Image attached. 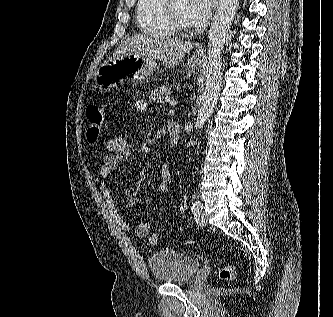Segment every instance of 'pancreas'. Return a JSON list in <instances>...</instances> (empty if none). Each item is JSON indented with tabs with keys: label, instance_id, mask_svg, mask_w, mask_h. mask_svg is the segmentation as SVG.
<instances>
[{
	"label": "pancreas",
	"instance_id": "pancreas-1",
	"mask_svg": "<svg viewBox=\"0 0 333 317\" xmlns=\"http://www.w3.org/2000/svg\"><path fill=\"white\" fill-rule=\"evenodd\" d=\"M171 94L170 86H160L152 90L150 95V100L158 105L164 106V98L168 97Z\"/></svg>",
	"mask_w": 333,
	"mask_h": 317
}]
</instances>
